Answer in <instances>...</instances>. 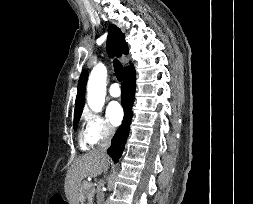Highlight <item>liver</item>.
<instances>
[{"label":"liver","mask_w":253,"mask_h":204,"mask_svg":"<svg viewBox=\"0 0 253 204\" xmlns=\"http://www.w3.org/2000/svg\"><path fill=\"white\" fill-rule=\"evenodd\" d=\"M109 164V156L102 154L98 149H93L75 159L67 171L64 186L70 204H79L82 180L87 177H97L107 171Z\"/></svg>","instance_id":"1"}]
</instances>
